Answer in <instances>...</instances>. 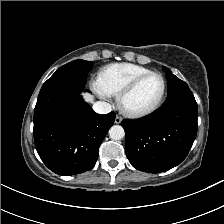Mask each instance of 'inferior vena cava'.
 <instances>
[{"label": "inferior vena cava", "mask_w": 224, "mask_h": 224, "mask_svg": "<svg viewBox=\"0 0 224 224\" xmlns=\"http://www.w3.org/2000/svg\"><path fill=\"white\" fill-rule=\"evenodd\" d=\"M93 110L98 114H107V113L111 112L112 107L107 102L98 101V102L94 103Z\"/></svg>", "instance_id": "obj_1"}]
</instances>
